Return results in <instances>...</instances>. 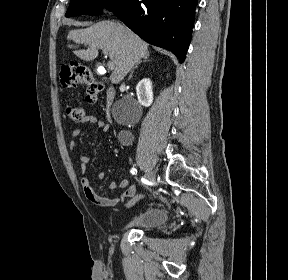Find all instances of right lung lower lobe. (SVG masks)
Instances as JSON below:
<instances>
[{
    "label": "right lung lower lobe",
    "instance_id": "obj_1",
    "mask_svg": "<svg viewBox=\"0 0 288 280\" xmlns=\"http://www.w3.org/2000/svg\"><path fill=\"white\" fill-rule=\"evenodd\" d=\"M198 0H125L111 10L146 42L165 48L180 63L189 48Z\"/></svg>",
    "mask_w": 288,
    "mask_h": 280
}]
</instances>
